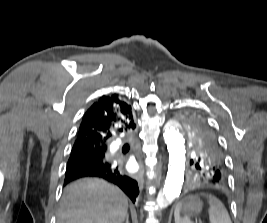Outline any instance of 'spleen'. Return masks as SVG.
I'll return each instance as SVG.
<instances>
[{"instance_id":"obj_1","label":"spleen","mask_w":267,"mask_h":223,"mask_svg":"<svg viewBox=\"0 0 267 223\" xmlns=\"http://www.w3.org/2000/svg\"><path fill=\"white\" fill-rule=\"evenodd\" d=\"M209 200V220L210 223H232L230 216L223 205V203L217 198L207 195ZM182 204L176 205L174 210L175 223H191L187 217L181 218L180 211Z\"/></svg>"}]
</instances>
